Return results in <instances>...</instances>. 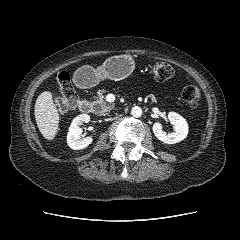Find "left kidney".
Listing matches in <instances>:
<instances>
[{
    "label": "left kidney",
    "mask_w": 240,
    "mask_h": 240,
    "mask_svg": "<svg viewBox=\"0 0 240 240\" xmlns=\"http://www.w3.org/2000/svg\"><path fill=\"white\" fill-rule=\"evenodd\" d=\"M168 119L175 128V132L167 134L165 131H163L162 124L156 122L152 127L155 136L160 141L167 144H175L184 140L188 134V124L186 120L175 112H169Z\"/></svg>",
    "instance_id": "5707ae66"
}]
</instances>
